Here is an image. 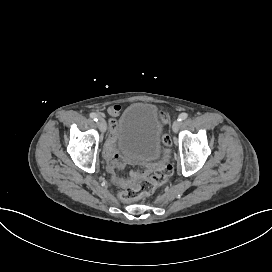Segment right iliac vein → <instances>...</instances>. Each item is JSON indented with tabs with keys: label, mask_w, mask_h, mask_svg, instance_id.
<instances>
[{
	"label": "right iliac vein",
	"mask_w": 272,
	"mask_h": 272,
	"mask_svg": "<svg viewBox=\"0 0 272 272\" xmlns=\"http://www.w3.org/2000/svg\"><path fill=\"white\" fill-rule=\"evenodd\" d=\"M100 130L104 133L106 131V122L104 121L103 118H98V122H97Z\"/></svg>",
	"instance_id": "63e3f726"
}]
</instances>
